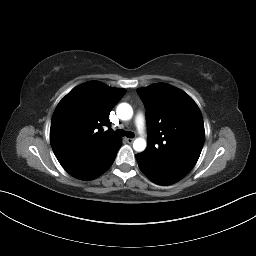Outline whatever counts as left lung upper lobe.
Wrapping results in <instances>:
<instances>
[{
	"mask_svg": "<svg viewBox=\"0 0 256 256\" xmlns=\"http://www.w3.org/2000/svg\"><path fill=\"white\" fill-rule=\"evenodd\" d=\"M146 106L148 146L153 165L184 177L196 164L205 140L196 103L183 91L158 83L137 89Z\"/></svg>",
	"mask_w": 256,
	"mask_h": 256,
	"instance_id": "5c2ea615",
	"label": "left lung upper lobe"
}]
</instances>
